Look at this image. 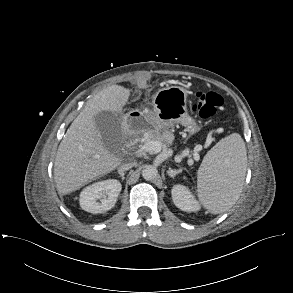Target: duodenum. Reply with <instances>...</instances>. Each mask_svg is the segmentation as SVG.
<instances>
[{
    "label": "duodenum",
    "instance_id": "1",
    "mask_svg": "<svg viewBox=\"0 0 293 293\" xmlns=\"http://www.w3.org/2000/svg\"><path fill=\"white\" fill-rule=\"evenodd\" d=\"M137 120H138V121H142V118H141V117H138ZM133 122H134V117H133L131 114H128V115L125 117V123H126L127 125H131Z\"/></svg>",
    "mask_w": 293,
    "mask_h": 293
}]
</instances>
